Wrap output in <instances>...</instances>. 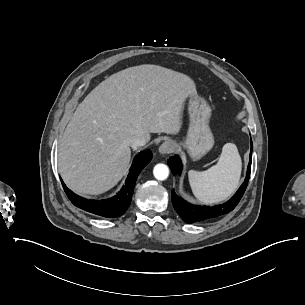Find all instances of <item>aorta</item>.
Here are the masks:
<instances>
[{"instance_id": "762f6f07", "label": "aorta", "mask_w": 305, "mask_h": 305, "mask_svg": "<svg viewBox=\"0 0 305 305\" xmlns=\"http://www.w3.org/2000/svg\"><path fill=\"white\" fill-rule=\"evenodd\" d=\"M153 174L157 180L163 181V180L167 179V177L169 175V169H168L167 165L160 163V164L155 165V167L153 169Z\"/></svg>"}]
</instances>
